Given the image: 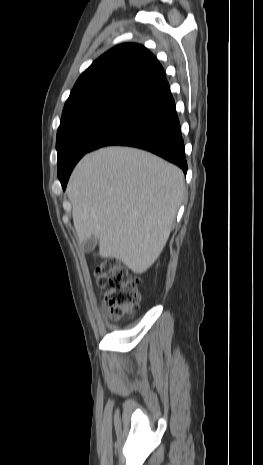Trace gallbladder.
<instances>
[{"label":"gallbladder","instance_id":"obj_1","mask_svg":"<svg viewBox=\"0 0 263 465\" xmlns=\"http://www.w3.org/2000/svg\"><path fill=\"white\" fill-rule=\"evenodd\" d=\"M98 243V239L94 236H91L81 244V249L85 253L92 252Z\"/></svg>","mask_w":263,"mask_h":465}]
</instances>
